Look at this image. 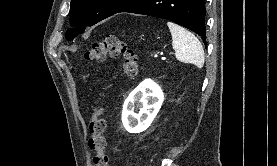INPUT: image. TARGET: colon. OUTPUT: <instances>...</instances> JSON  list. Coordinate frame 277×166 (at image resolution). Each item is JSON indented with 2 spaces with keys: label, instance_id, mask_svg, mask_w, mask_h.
<instances>
[{
  "label": "colon",
  "instance_id": "obj_1",
  "mask_svg": "<svg viewBox=\"0 0 277 166\" xmlns=\"http://www.w3.org/2000/svg\"><path fill=\"white\" fill-rule=\"evenodd\" d=\"M89 62H101L107 58H121V68L125 76L133 77L138 70V60L126 43L115 35H107L102 40L92 44L83 55ZM101 105L94 107L89 121V148L94 152V166H108L109 158L106 153L104 136L106 122Z\"/></svg>",
  "mask_w": 277,
  "mask_h": 166
}]
</instances>
